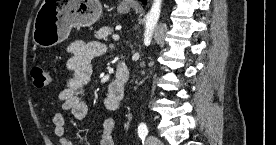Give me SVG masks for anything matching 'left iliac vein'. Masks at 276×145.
Returning <instances> with one entry per match:
<instances>
[{
  "label": "left iliac vein",
  "instance_id": "1",
  "mask_svg": "<svg viewBox=\"0 0 276 145\" xmlns=\"http://www.w3.org/2000/svg\"><path fill=\"white\" fill-rule=\"evenodd\" d=\"M148 145H161V141L154 135H149L147 138Z\"/></svg>",
  "mask_w": 276,
  "mask_h": 145
}]
</instances>
